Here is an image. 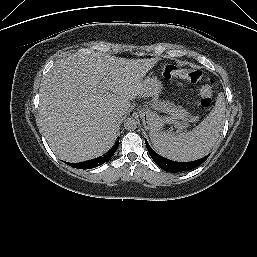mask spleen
Segmentation results:
<instances>
[{
    "label": "spleen",
    "instance_id": "obj_1",
    "mask_svg": "<svg viewBox=\"0 0 257 257\" xmlns=\"http://www.w3.org/2000/svg\"><path fill=\"white\" fill-rule=\"evenodd\" d=\"M225 100L220 93L215 107L194 129L172 134L151 130L149 136L155 150L173 161H194L206 156L219 139L225 122Z\"/></svg>",
    "mask_w": 257,
    "mask_h": 257
}]
</instances>
